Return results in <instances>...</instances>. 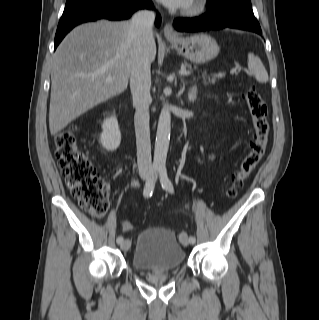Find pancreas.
<instances>
[{
    "label": "pancreas",
    "mask_w": 319,
    "mask_h": 320,
    "mask_svg": "<svg viewBox=\"0 0 319 320\" xmlns=\"http://www.w3.org/2000/svg\"><path fill=\"white\" fill-rule=\"evenodd\" d=\"M184 65L189 68L191 67V65L189 63H185ZM202 80L205 85L214 84L217 80V77L216 76L209 77L206 75V73H203Z\"/></svg>",
    "instance_id": "cf45deb5"
}]
</instances>
